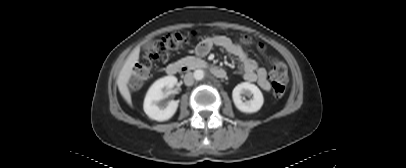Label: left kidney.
Masks as SVG:
<instances>
[{
    "instance_id": "5707ae66",
    "label": "left kidney",
    "mask_w": 406,
    "mask_h": 168,
    "mask_svg": "<svg viewBox=\"0 0 406 168\" xmlns=\"http://www.w3.org/2000/svg\"><path fill=\"white\" fill-rule=\"evenodd\" d=\"M251 97L249 101H243L242 96ZM233 102L238 110L244 113H255L263 105L264 98L260 89L249 82H242L235 86L232 92Z\"/></svg>"
}]
</instances>
